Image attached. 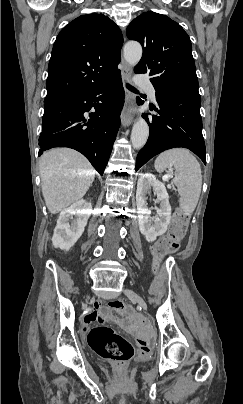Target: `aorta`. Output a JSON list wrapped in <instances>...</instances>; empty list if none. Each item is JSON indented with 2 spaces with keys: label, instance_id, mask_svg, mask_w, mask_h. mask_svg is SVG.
I'll return each mask as SVG.
<instances>
[{
  "label": "aorta",
  "instance_id": "1",
  "mask_svg": "<svg viewBox=\"0 0 243 404\" xmlns=\"http://www.w3.org/2000/svg\"><path fill=\"white\" fill-rule=\"evenodd\" d=\"M123 56L126 64L134 68L142 58V46L138 42H127L124 46ZM149 136V126L143 118H138L133 124L131 132V144L134 150H141L145 146Z\"/></svg>",
  "mask_w": 243,
  "mask_h": 404
}]
</instances>
